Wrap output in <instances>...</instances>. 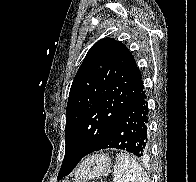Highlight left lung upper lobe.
I'll return each mask as SVG.
<instances>
[{"label": "left lung upper lobe", "instance_id": "5c2ea615", "mask_svg": "<svg viewBox=\"0 0 196 182\" xmlns=\"http://www.w3.org/2000/svg\"><path fill=\"white\" fill-rule=\"evenodd\" d=\"M134 56L119 41L104 38L87 52L72 83L65 127V155L75 146L92 153L122 111L143 90ZM77 165L63 160L58 180Z\"/></svg>", "mask_w": 196, "mask_h": 182}]
</instances>
